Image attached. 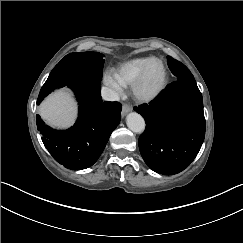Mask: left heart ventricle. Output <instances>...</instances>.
I'll return each mask as SVG.
<instances>
[{
	"mask_svg": "<svg viewBox=\"0 0 243 243\" xmlns=\"http://www.w3.org/2000/svg\"><path fill=\"white\" fill-rule=\"evenodd\" d=\"M163 78H164L163 68L159 63H154L144 90L146 92H149L156 89L162 83Z\"/></svg>",
	"mask_w": 243,
	"mask_h": 243,
	"instance_id": "1",
	"label": "left heart ventricle"
}]
</instances>
